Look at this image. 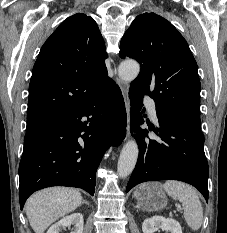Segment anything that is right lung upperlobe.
<instances>
[{"mask_svg":"<svg viewBox=\"0 0 227 233\" xmlns=\"http://www.w3.org/2000/svg\"><path fill=\"white\" fill-rule=\"evenodd\" d=\"M104 40L85 14L64 20L42 46L29 85L27 131L38 128L109 87Z\"/></svg>","mask_w":227,"mask_h":233,"instance_id":"obj_1","label":"right lung upper lobe"}]
</instances>
